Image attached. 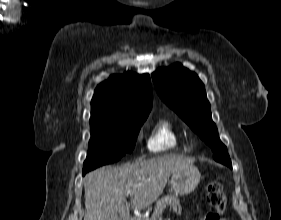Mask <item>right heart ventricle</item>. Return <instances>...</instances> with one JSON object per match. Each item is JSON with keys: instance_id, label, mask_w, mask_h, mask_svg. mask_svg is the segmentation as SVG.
I'll return each mask as SVG.
<instances>
[{"instance_id": "e07e8e85", "label": "right heart ventricle", "mask_w": 281, "mask_h": 220, "mask_svg": "<svg viewBox=\"0 0 281 220\" xmlns=\"http://www.w3.org/2000/svg\"><path fill=\"white\" fill-rule=\"evenodd\" d=\"M149 151L154 153L185 149L183 137L167 118H159L146 141Z\"/></svg>"}]
</instances>
